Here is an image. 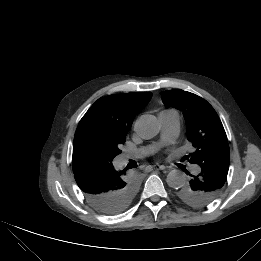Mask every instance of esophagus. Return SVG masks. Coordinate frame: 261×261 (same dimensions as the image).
I'll use <instances>...</instances> for the list:
<instances>
[{"label": "esophagus", "mask_w": 261, "mask_h": 261, "mask_svg": "<svg viewBox=\"0 0 261 261\" xmlns=\"http://www.w3.org/2000/svg\"><path fill=\"white\" fill-rule=\"evenodd\" d=\"M165 169V166L164 165H154L150 168L149 171H159V170H164Z\"/></svg>", "instance_id": "obj_1"}]
</instances>
